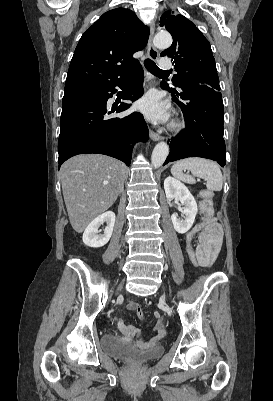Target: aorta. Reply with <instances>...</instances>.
I'll use <instances>...</instances> for the list:
<instances>
[{"instance_id": "762f6f07", "label": "aorta", "mask_w": 273, "mask_h": 401, "mask_svg": "<svg viewBox=\"0 0 273 401\" xmlns=\"http://www.w3.org/2000/svg\"><path fill=\"white\" fill-rule=\"evenodd\" d=\"M172 37L166 31L158 32L154 39L153 44L157 49H167L172 44ZM169 154V146L166 142L158 143L152 152L151 163L154 168H159L165 162Z\"/></svg>"}]
</instances>
